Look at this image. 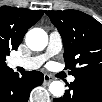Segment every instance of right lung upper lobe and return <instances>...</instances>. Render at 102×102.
<instances>
[{
	"label": "right lung upper lobe",
	"mask_w": 102,
	"mask_h": 102,
	"mask_svg": "<svg viewBox=\"0 0 102 102\" xmlns=\"http://www.w3.org/2000/svg\"><path fill=\"white\" fill-rule=\"evenodd\" d=\"M44 14L43 10L0 7V52L16 50L27 30Z\"/></svg>",
	"instance_id": "right-lung-upper-lobe-1"
}]
</instances>
